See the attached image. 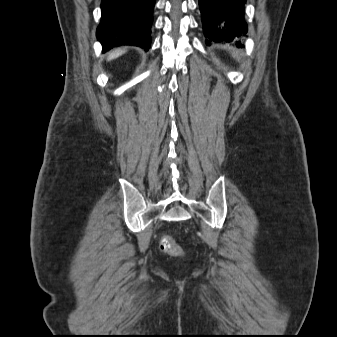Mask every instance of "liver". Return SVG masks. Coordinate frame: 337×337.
<instances>
[{"label":"liver","instance_id":"1","mask_svg":"<svg viewBox=\"0 0 337 337\" xmlns=\"http://www.w3.org/2000/svg\"><path fill=\"white\" fill-rule=\"evenodd\" d=\"M125 52V50H122V49H116L115 51H112L108 57H107V60H113L119 56H121L123 53Z\"/></svg>","mask_w":337,"mask_h":337}]
</instances>
